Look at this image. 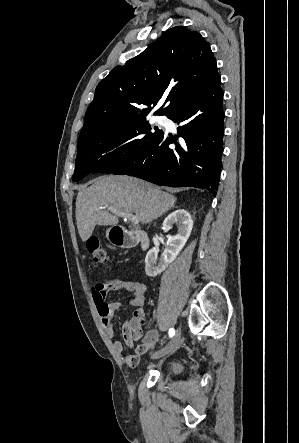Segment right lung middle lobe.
Instances as JSON below:
<instances>
[{
  "instance_id": "obj_1",
  "label": "right lung middle lobe",
  "mask_w": 299,
  "mask_h": 443,
  "mask_svg": "<svg viewBox=\"0 0 299 443\" xmlns=\"http://www.w3.org/2000/svg\"><path fill=\"white\" fill-rule=\"evenodd\" d=\"M153 129L145 117L110 124L78 140L76 168L72 180L89 173H114L139 159L163 133Z\"/></svg>"
}]
</instances>
